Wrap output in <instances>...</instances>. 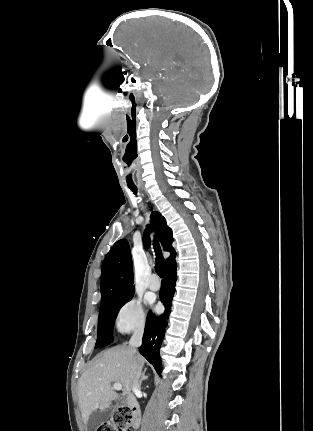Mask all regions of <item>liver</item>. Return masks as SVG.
I'll use <instances>...</instances> for the list:
<instances>
[{
	"label": "liver",
	"instance_id": "6515ba94",
	"mask_svg": "<svg viewBox=\"0 0 313 431\" xmlns=\"http://www.w3.org/2000/svg\"><path fill=\"white\" fill-rule=\"evenodd\" d=\"M145 359L130 346L120 345L101 352L78 381V400L82 418L88 423L91 413L118 398L111 383H121L123 396L129 395L137 372Z\"/></svg>",
	"mask_w": 313,
	"mask_h": 431
}]
</instances>
